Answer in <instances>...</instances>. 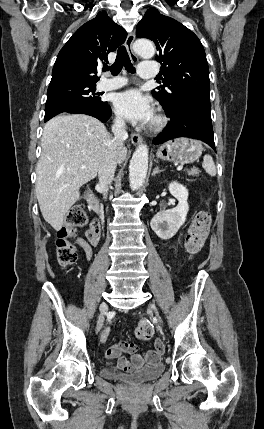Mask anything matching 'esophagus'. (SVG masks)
Segmentation results:
<instances>
[{
  "instance_id": "esophagus-1",
  "label": "esophagus",
  "mask_w": 264,
  "mask_h": 429,
  "mask_svg": "<svg viewBox=\"0 0 264 429\" xmlns=\"http://www.w3.org/2000/svg\"><path fill=\"white\" fill-rule=\"evenodd\" d=\"M134 39H135L134 33L128 34V36L126 38V41H125V46H126V49H127L128 53H129V56H130L131 60L133 62H137L138 61V57H137V55L133 51V42H134ZM130 139H131V142L134 145H138L139 143L142 142V137L139 134L134 133V132H132L130 134Z\"/></svg>"
}]
</instances>
